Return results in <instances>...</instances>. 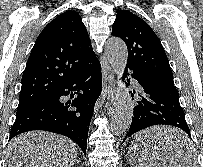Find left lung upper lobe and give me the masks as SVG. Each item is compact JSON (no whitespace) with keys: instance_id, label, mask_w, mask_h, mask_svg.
Returning <instances> with one entry per match:
<instances>
[{"instance_id":"5c2ea615","label":"left lung upper lobe","mask_w":203,"mask_h":167,"mask_svg":"<svg viewBox=\"0 0 203 167\" xmlns=\"http://www.w3.org/2000/svg\"><path fill=\"white\" fill-rule=\"evenodd\" d=\"M112 35L120 37L127 45V68L144 72L150 78L173 85V74L165 50L151 27L128 10L117 13Z\"/></svg>"}]
</instances>
